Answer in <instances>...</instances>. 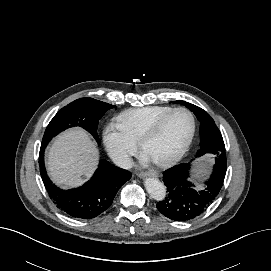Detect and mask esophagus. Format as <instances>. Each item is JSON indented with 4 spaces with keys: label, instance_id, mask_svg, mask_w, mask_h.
I'll return each instance as SVG.
<instances>
[{
    "label": "esophagus",
    "instance_id": "esophagus-1",
    "mask_svg": "<svg viewBox=\"0 0 271 271\" xmlns=\"http://www.w3.org/2000/svg\"><path fill=\"white\" fill-rule=\"evenodd\" d=\"M138 176L140 178H146V177H155V178H157L159 175H158L157 172L147 171V172H140V173H138Z\"/></svg>",
    "mask_w": 271,
    "mask_h": 271
}]
</instances>
